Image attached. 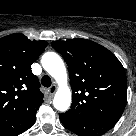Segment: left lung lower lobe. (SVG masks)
Masks as SVG:
<instances>
[{
  "instance_id": "obj_1",
  "label": "left lung lower lobe",
  "mask_w": 136,
  "mask_h": 136,
  "mask_svg": "<svg viewBox=\"0 0 136 136\" xmlns=\"http://www.w3.org/2000/svg\"><path fill=\"white\" fill-rule=\"evenodd\" d=\"M62 124L79 136H99L108 131L116 123L102 119H69L59 116Z\"/></svg>"
}]
</instances>
